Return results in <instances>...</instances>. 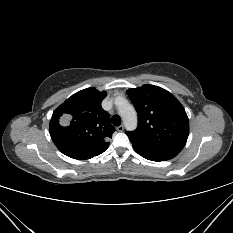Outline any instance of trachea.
Wrapping results in <instances>:
<instances>
[{
  "label": "trachea",
  "mask_w": 233,
  "mask_h": 233,
  "mask_svg": "<svg viewBox=\"0 0 233 233\" xmlns=\"http://www.w3.org/2000/svg\"><path fill=\"white\" fill-rule=\"evenodd\" d=\"M111 122L115 126H120V124H121V118H120V116L119 115L112 116Z\"/></svg>",
  "instance_id": "1"
}]
</instances>
